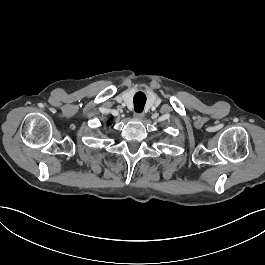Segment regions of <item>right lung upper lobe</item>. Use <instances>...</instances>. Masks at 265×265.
Masks as SVG:
<instances>
[{"mask_svg": "<svg viewBox=\"0 0 265 265\" xmlns=\"http://www.w3.org/2000/svg\"><path fill=\"white\" fill-rule=\"evenodd\" d=\"M112 119H113V118H111L110 121H111ZM110 121H108V124H109V125L111 124Z\"/></svg>", "mask_w": 265, "mask_h": 265, "instance_id": "obj_1", "label": "right lung upper lobe"}]
</instances>
